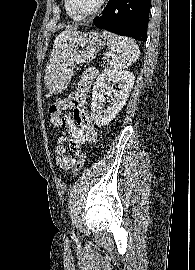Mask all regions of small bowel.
Masks as SVG:
<instances>
[{"instance_id": "1", "label": "small bowel", "mask_w": 195, "mask_h": 270, "mask_svg": "<svg viewBox=\"0 0 195 270\" xmlns=\"http://www.w3.org/2000/svg\"><path fill=\"white\" fill-rule=\"evenodd\" d=\"M96 77V71L90 69L83 73L78 87L73 94L65 99L66 109H71L69 115L51 117L50 124L55 128H67L71 137L61 135L55 148V161L61 170L74 168L77 155L86 142H92L97 134L92 119L84 108L88 91Z\"/></svg>"}]
</instances>
